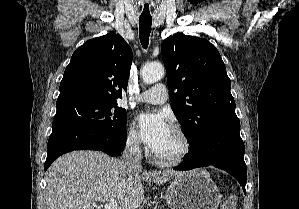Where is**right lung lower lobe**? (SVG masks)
<instances>
[{
	"instance_id": "98d812e1",
	"label": "right lung lower lobe",
	"mask_w": 299,
	"mask_h": 209,
	"mask_svg": "<svg viewBox=\"0 0 299 209\" xmlns=\"http://www.w3.org/2000/svg\"><path fill=\"white\" fill-rule=\"evenodd\" d=\"M126 140L125 130L110 133L68 119L55 120L47 144L44 169L47 170L60 155L73 150H98L118 156L124 149Z\"/></svg>"
}]
</instances>
